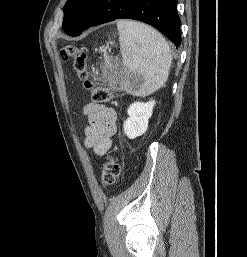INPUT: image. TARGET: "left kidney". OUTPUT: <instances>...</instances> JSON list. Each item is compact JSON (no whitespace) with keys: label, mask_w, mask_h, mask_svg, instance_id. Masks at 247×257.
<instances>
[{"label":"left kidney","mask_w":247,"mask_h":257,"mask_svg":"<svg viewBox=\"0 0 247 257\" xmlns=\"http://www.w3.org/2000/svg\"><path fill=\"white\" fill-rule=\"evenodd\" d=\"M154 100L132 103L127 114L129 117L123 124V129L128 138L134 139L143 135L148 128V120L153 113Z\"/></svg>","instance_id":"left-kidney-1"}]
</instances>
